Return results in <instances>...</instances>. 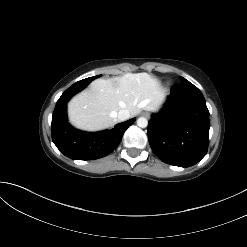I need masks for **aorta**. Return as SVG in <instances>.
Returning a JSON list of instances; mask_svg holds the SVG:
<instances>
[{"label": "aorta", "mask_w": 247, "mask_h": 247, "mask_svg": "<svg viewBox=\"0 0 247 247\" xmlns=\"http://www.w3.org/2000/svg\"><path fill=\"white\" fill-rule=\"evenodd\" d=\"M137 125H138L140 128H145V127H147V125H148V120H147L145 117H140V118H138V120H137Z\"/></svg>", "instance_id": "1"}]
</instances>
